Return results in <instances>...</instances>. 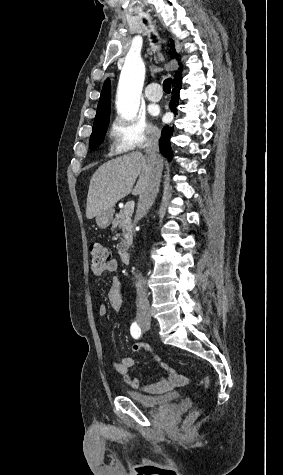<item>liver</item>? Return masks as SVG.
<instances>
[{
  "label": "liver",
  "instance_id": "6515ba94",
  "mask_svg": "<svg viewBox=\"0 0 283 475\" xmlns=\"http://www.w3.org/2000/svg\"><path fill=\"white\" fill-rule=\"evenodd\" d=\"M148 162L141 152H131L106 162L94 172L88 190L86 218L93 220L103 210H111L128 194H144L148 184ZM139 180L132 190L137 178Z\"/></svg>",
  "mask_w": 283,
  "mask_h": 475
}]
</instances>
